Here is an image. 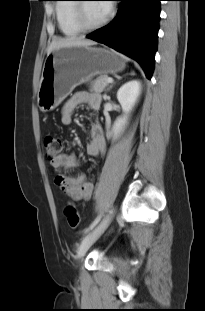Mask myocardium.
Here are the masks:
<instances>
[{
    "label": "myocardium",
    "instance_id": "1",
    "mask_svg": "<svg viewBox=\"0 0 205 311\" xmlns=\"http://www.w3.org/2000/svg\"><path fill=\"white\" fill-rule=\"evenodd\" d=\"M84 7H85L84 0H77L76 3H74V10H73L74 20L82 31L99 30L102 27H104L110 20L111 14L110 12H108L106 17L101 22L95 25H90L86 22V19L84 16Z\"/></svg>",
    "mask_w": 205,
    "mask_h": 311
}]
</instances>
